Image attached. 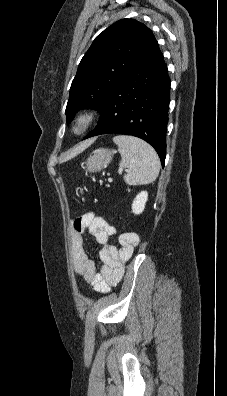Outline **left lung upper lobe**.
Masks as SVG:
<instances>
[{"instance_id":"5c2ea615","label":"left lung upper lobe","mask_w":227,"mask_h":396,"mask_svg":"<svg viewBox=\"0 0 227 396\" xmlns=\"http://www.w3.org/2000/svg\"><path fill=\"white\" fill-rule=\"evenodd\" d=\"M158 45L152 31L121 19L100 33L82 58L66 107L67 122L79 109L101 110L131 70Z\"/></svg>"}]
</instances>
